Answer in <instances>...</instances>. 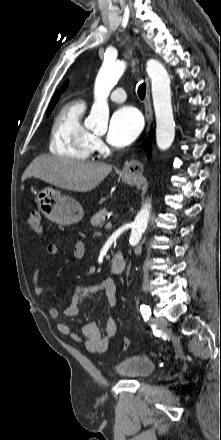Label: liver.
<instances>
[{"instance_id":"obj_1","label":"liver","mask_w":221,"mask_h":440,"mask_svg":"<svg viewBox=\"0 0 221 440\" xmlns=\"http://www.w3.org/2000/svg\"><path fill=\"white\" fill-rule=\"evenodd\" d=\"M111 171L112 166L107 163L41 155L27 167L22 181L35 177L63 189L88 192L98 186Z\"/></svg>"}]
</instances>
